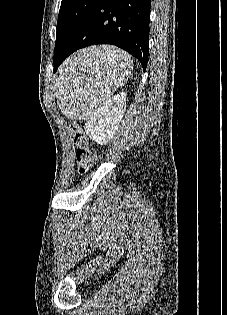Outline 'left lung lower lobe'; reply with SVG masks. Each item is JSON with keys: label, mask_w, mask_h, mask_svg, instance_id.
Masks as SVG:
<instances>
[{"label": "left lung lower lobe", "mask_w": 227, "mask_h": 315, "mask_svg": "<svg viewBox=\"0 0 227 315\" xmlns=\"http://www.w3.org/2000/svg\"><path fill=\"white\" fill-rule=\"evenodd\" d=\"M151 0H101L68 45L54 54V71L70 54L96 44L118 46L146 70Z\"/></svg>", "instance_id": "left-lung-lower-lobe-1"}]
</instances>
